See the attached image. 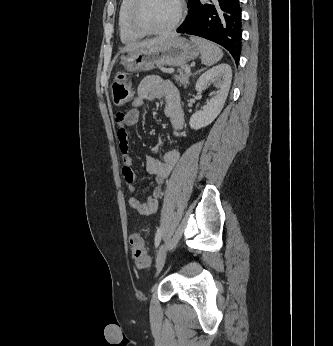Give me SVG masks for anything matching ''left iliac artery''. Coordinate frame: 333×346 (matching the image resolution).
<instances>
[{"instance_id": "1", "label": "left iliac artery", "mask_w": 333, "mask_h": 346, "mask_svg": "<svg viewBox=\"0 0 333 346\" xmlns=\"http://www.w3.org/2000/svg\"><path fill=\"white\" fill-rule=\"evenodd\" d=\"M160 241H161V229L158 228L156 235H155V246L156 247H158Z\"/></svg>"}]
</instances>
